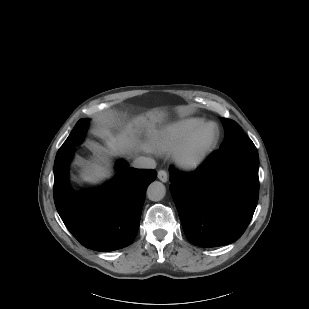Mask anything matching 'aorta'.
Segmentation results:
<instances>
[{"label":"aorta","mask_w":309,"mask_h":309,"mask_svg":"<svg viewBox=\"0 0 309 309\" xmlns=\"http://www.w3.org/2000/svg\"><path fill=\"white\" fill-rule=\"evenodd\" d=\"M166 194V188L159 181L152 182L147 189V196L151 201H160Z\"/></svg>","instance_id":"1"}]
</instances>
